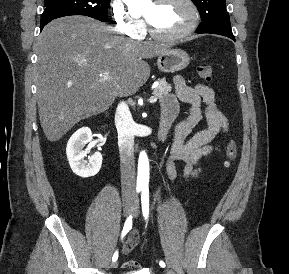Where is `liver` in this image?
Instances as JSON below:
<instances>
[{
    "label": "liver",
    "instance_id": "obj_1",
    "mask_svg": "<svg viewBox=\"0 0 289 274\" xmlns=\"http://www.w3.org/2000/svg\"><path fill=\"white\" fill-rule=\"evenodd\" d=\"M166 50L165 45L119 36L112 27L85 16L50 22L36 44L35 71L46 138L58 141L81 120L107 110L118 95L137 92L150 76L143 59Z\"/></svg>",
    "mask_w": 289,
    "mask_h": 274
}]
</instances>
